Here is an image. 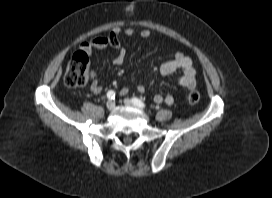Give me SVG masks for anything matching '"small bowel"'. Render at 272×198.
<instances>
[{
    "label": "small bowel",
    "instance_id": "c3829d8e",
    "mask_svg": "<svg viewBox=\"0 0 272 198\" xmlns=\"http://www.w3.org/2000/svg\"><path fill=\"white\" fill-rule=\"evenodd\" d=\"M121 33L120 28H114L107 35L97 36L89 41L81 43L80 49L92 55L94 50L103 49L106 47H113L117 50V55L113 59V64L116 66L121 65L126 58V49L119 42L118 36ZM126 35H132L134 30L132 28H126L124 30ZM151 35L149 30H142L140 36L142 38H148ZM176 70H181L182 75L178 79V84L186 89L192 90L196 86V70L193 66V62L190 57L185 54L178 52L175 54L172 60L164 62L161 64L159 71L162 75H169ZM137 90L141 93L145 92L146 88L144 85H138ZM91 91L94 94H99L102 91V85L98 81H94L91 85ZM129 91L128 88H123L121 93L126 94ZM154 101L156 103H165L166 105H172L174 99L171 95H160L156 94L154 96Z\"/></svg>",
    "mask_w": 272,
    "mask_h": 198
}]
</instances>
